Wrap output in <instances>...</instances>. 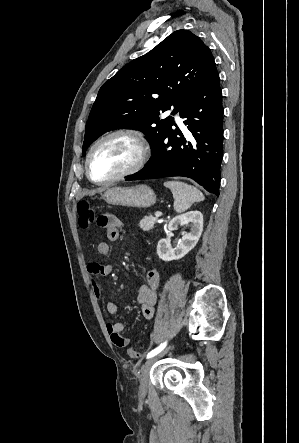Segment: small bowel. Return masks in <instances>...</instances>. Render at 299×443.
Wrapping results in <instances>:
<instances>
[{"instance_id":"c3829d8e","label":"small bowel","mask_w":299,"mask_h":443,"mask_svg":"<svg viewBox=\"0 0 299 443\" xmlns=\"http://www.w3.org/2000/svg\"><path fill=\"white\" fill-rule=\"evenodd\" d=\"M98 226L105 230L107 241L100 242L97 246V251L101 255H107L110 251V242L118 240L120 236L122 222L116 215L103 214L98 218ZM111 272L112 266L110 264L91 263L88 265V275L97 297L100 298L101 296L98 284L99 277L107 276ZM160 278V272L157 269H150L146 274L145 283L139 288L137 302L140 305L143 317L146 319L154 316ZM106 310L111 316L118 314V307L114 302H107ZM106 330L115 347L123 349L129 345L130 339L121 335L125 330L124 322L116 321L114 323H108Z\"/></svg>"}]
</instances>
